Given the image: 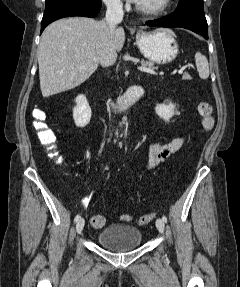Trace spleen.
<instances>
[{"label": "spleen", "mask_w": 240, "mask_h": 287, "mask_svg": "<svg viewBox=\"0 0 240 287\" xmlns=\"http://www.w3.org/2000/svg\"><path fill=\"white\" fill-rule=\"evenodd\" d=\"M195 63L199 77L201 79H207L209 77V64L207 58L200 52L195 54Z\"/></svg>", "instance_id": "3e777b00"}]
</instances>
